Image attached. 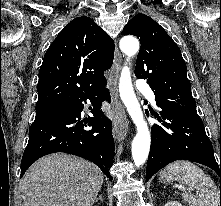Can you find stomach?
I'll list each match as a JSON object with an SVG mask.
<instances>
[{
  "mask_svg": "<svg viewBox=\"0 0 221 206\" xmlns=\"http://www.w3.org/2000/svg\"><path fill=\"white\" fill-rule=\"evenodd\" d=\"M175 179V175L169 170H164L159 175V180L164 183H172Z\"/></svg>",
  "mask_w": 221,
  "mask_h": 206,
  "instance_id": "0dacf381",
  "label": "stomach"
}]
</instances>
